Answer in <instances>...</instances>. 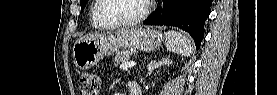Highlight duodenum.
Returning a JSON list of instances; mask_svg holds the SVG:
<instances>
[{
  "label": "duodenum",
  "instance_id": "1",
  "mask_svg": "<svg viewBox=\"0 0 277 95\" xmlns=\"http://www.w3.org/2000/svg\"><path fill=\"white\" fill-rule=\"evenodd\" d=\"M129 95H140L141 94V86L137 81H131L129 85Z\"/></svg>",
  "mask_w": 277,
  "mask_h": 95
}]
</instances>
